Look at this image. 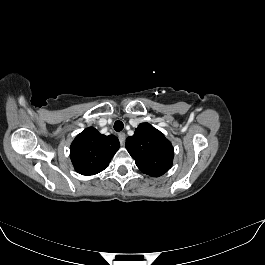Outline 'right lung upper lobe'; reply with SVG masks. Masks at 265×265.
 <instances>
[{
    "label": "right lung upper lobe",
    "instance_id": "obj_1",
    "mask_svg": "<svg viewBox=\"0 0 265 265\" xmlns=\"http://www.w3.org/2000/svg\"><path fill=\"white\" fill-rule=\"evenodd\" d=\"M116 136H105L89 127L78 134L70 147V158L75 170L82 175H95L103 171L119 149Z\"/></svg>",
    "mask_w": 265,
    "mask_h": 265
}]
</instances>
